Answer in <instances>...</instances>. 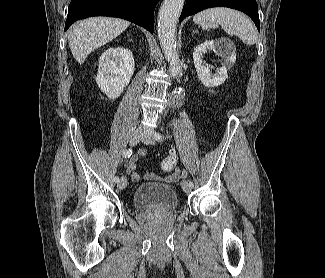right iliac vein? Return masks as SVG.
Instances as JSON below:
<instances>
[{
	"label": "right iliac vein",
	"instance_id": "obj_1",
	"mask_svg": "<svg viewBox=\"0 0 325 278\" xmlns=\"http://www.w3.org/2000/svg\"><path fill=\"white\" fill-rule=\"evenodd\" d=\"M143 135L142 129L135 130L130 137V145L135 146ZM127 186V179L125 177H121L120 181L118 182L119 189H125Z\"/></svg>",
	"mask_w": 325,
	"mask_h": 278
}]
</instances>
